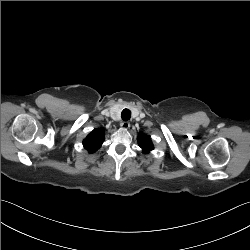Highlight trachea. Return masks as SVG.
<instances>
[{
    "mask_svg": "<svg viewBox=\"0 0 250 250\" xmlns=\"http://www.w3.org/2000/svg\"><path fill=\"white\" fill-rule=\"evenodd\" d=\"M131 118V111L129 109H124L122 111V119L128 121Z\"/></svg>",
    "mask_w": 250,
    "mask_h": 250,
    "instance_id": "3493384b",
    "label": "trachea"
}]
</instances>
